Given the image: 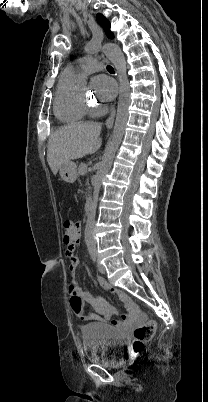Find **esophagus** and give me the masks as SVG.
<instances>
[{"instance_id":"esophagus-1","label":"esophagus","mask_w":208,"mask_h":402,"mask_svg":"<svg viewBox=\"0 0 208 402\" xmlns=\"http://www.w3.org/2000/svg\"><path fill=\"white\" fill-rule=\"evenodd\" d=\"M115 114H116V109H115V105H113V107L111 109V113H110L108 119L106 120L107 126H113L114 120H115Z\"/></svg>"}]
</instances>
